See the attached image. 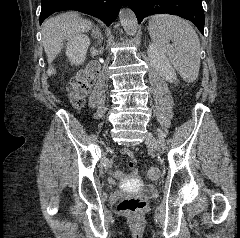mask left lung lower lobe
Returning <instances> with one entry per match:
<instances>
[{"label": "left lung lower lobe", "mask_w": 240, "mask_h": 238, "mask_svg": "<svg viewBox=\"0 0 240 238\" xmlns=\"http://www.w3.org/2000/svg\"><path fill=\"white\" fill-rule=\"evenodd\" d=\"M136 14L140 23L153 14H171L193 22L199 31H204V11L202 0H125Z\"/></svg>", "instance_id": "left-lung-lower-lobe-1"}]
</instances>
